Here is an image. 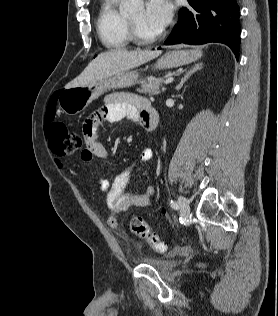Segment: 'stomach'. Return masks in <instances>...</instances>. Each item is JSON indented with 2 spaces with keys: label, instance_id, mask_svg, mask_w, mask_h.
<instances>
[{
  "label": "stomach",
  "instance_id": "obj_1",
  "mask_svg": "<svg viewBox=\"0 0 278 316\" xmlns=\"http://www.w3.org/2000/svg\"><path fill=\"white\" fill-rule=\"evenodd\" d=\"M199 50H178L164 54L155 64L158 69L175 68L198 60ZM137 71H124L86 86L66 88L59 94V107L68 115L83 111L93 100L109 89L123 88L138 82Z\"/></svg>",
  "mask_w": 278,
  "mask_h": 316
}]
</instances>
